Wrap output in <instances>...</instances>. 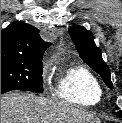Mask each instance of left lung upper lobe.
Returning a JSON list of instances; mask_svg holds the SVG:
<instances>
[{
	"mask_svg": "<svg viewBox=\"0 0 122 123\" xmlns=\"http://www.w3.org/2000/svg\"><path fill=\"white\" fill-rule=\"evenodd\" d=\"M68 31L83 61L99 73L108 87L112 89L110 70L102 59L101 50L95 45L92 33L83 26L70 27ZM116 115L122 118V111H118Z\"/></svg>",
	"mask_w": 122,
	"mask_h": 123,
	"instance_id": "left-lung-upper-lobe-1",
	"label": "left lung upper lobe"
}]
</instances>
